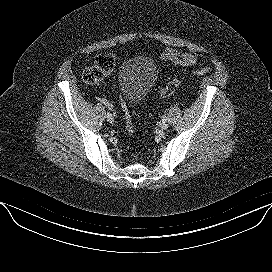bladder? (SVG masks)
<instances>
[{"label": "bladder", "mask_w": 272, "mask_h": 272, "mask_svg": "<svg viewBox=\"0 0 272 272\" xmlns=\"http://www.w3.org/2000/svg\"><path fill=\"white\" fill-rule=\"evenodd\" d=\"M117 78L119 90L125 100L137 103L154 88L158 78V69L151 59L134 57L120 66Z\"/></svg>", "instance_id": "1"}]
</instances>
